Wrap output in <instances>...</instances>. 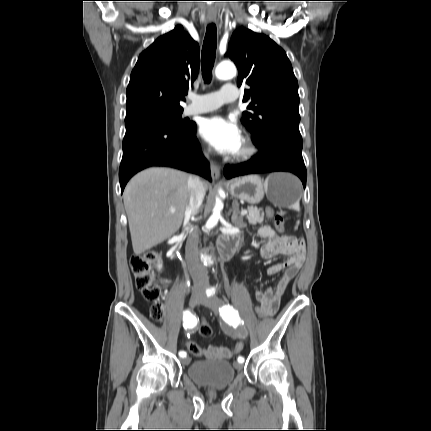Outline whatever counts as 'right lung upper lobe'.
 <instances>
[{
  "instance_id": "cb5924a9",
  "label": "right lung upper lobe",
  "mask_w": 431,
  "mask_h": 431,
  "mask_svg": "<svg viewBox=\"0 0 431 431\" xmlns=\"http://www.w3.org/2000/svg\"><path fill=\"white\" fill-rule=\"evenodd\" d=\"M199 45L181 25L143 51L126 90L125 120L183 111L180 101L199 71Z\"/></svg>"
}]
</instances>
